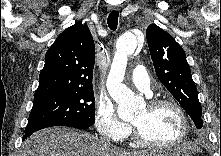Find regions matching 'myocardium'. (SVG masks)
<instances>
[{"label":"myocardium","mask_w":221,"mask_h":156,"mask_svg":"<svg viewBox=\"0 0 221 156\" xmlns=\"http://www.w3.org/2000/svg\"><path fill=\"white\" fill-rule=\"evenodd\" d=\"M161 107H171L177 112L182 123L181 134L175 141H173L170 144H157L146 139L144 135L142 134L141 130L139 129V127L135 125L134 123H132L133 136H134L135 141L139 145L147 147V148H152V149L167 150V149H171L180 145L186 139L190 131V122L184 109L177 102L170 100V99H156V100L151 101L148 104V108L152 111L157 110Z\"/></svg>","instance_id":"myocardium-1"}]
</instances>
